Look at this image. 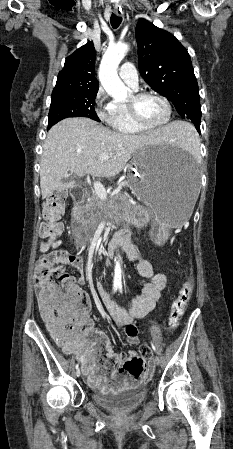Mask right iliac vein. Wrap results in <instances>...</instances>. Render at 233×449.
Listing matches in <instances>:
<instances>
[{"label": "right iliac vein", "instance_id": "63e3f726", "mask_svg": "<svg viewBox=\"0 0 233 449\" xmlns=\"http://www.w3.org/2000/svg\"><path fill=\"white\" fill-rule=\"evenodd\" d=\"M80 374H81V371H80V369L78 368V369L76 370V372H75V375H76V377H79Z\"/></svg>", "mask_w": 233, "mask_h": 449}]
</instances>
